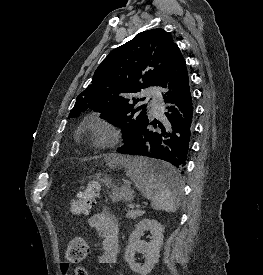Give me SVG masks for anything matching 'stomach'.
<instances>
[{
  "instance_id": "1",
  "label": "stomach",
  "mask_w": 263,
  "mask_h": 275,
  "mask_svg": "<svg viewBox=\"0 0 263 275\" xmlns=\"http://www.w3.org/2000/svg\"><path fill=\"white\" fill-rule=\"evenodd\" d=\"M123 160V158H122ZM157 164L165 165L164 163L156 162ZM132 198V191L129 187H123L121 189H114L113 192V200L119 201V200H130Z\"/></svg>"
}]
</instances>
